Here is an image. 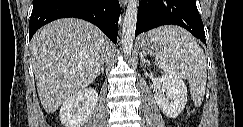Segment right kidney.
I'll return each mask as SVG.
<instances>
[{
  "label": "right kidney",
  "mask_w": 243,
  "mask_h": 127,
  "mask_svg": "<svg viewBox=\"0 0 243 127\" xmlns=\"http://www.w3.org/2000/svg\"><path fill=\"white\" fill-rule=\"evenodd\" d=\"M98 101L94 88H84L67 100L60 108V121L64 127H82L88 122Z\"/></svg>",
  "instance_id": "1"
}]
</instances>
